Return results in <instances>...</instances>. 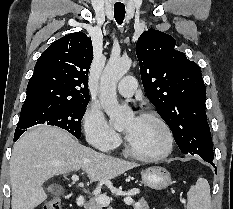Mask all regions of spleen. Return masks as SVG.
Returning a JSON list of instances; mask_svg holds the SVG:
<instances>
[{
	"label": "spleen",
	"instance_id": "spleen-1",
	"mask_svg": "<svg viewBox=\"0 0 233 209\" xmlns=\"http://www.w3.org/2000/svg\"><path fill=\"white\" fill-rule=\"evenodd\" d=\"M187 209H211L210 186L205 178H199L188 191Z\"/></svg>",
	"mask_w": 233,
	"mask_h": 209
}]
</instances>
